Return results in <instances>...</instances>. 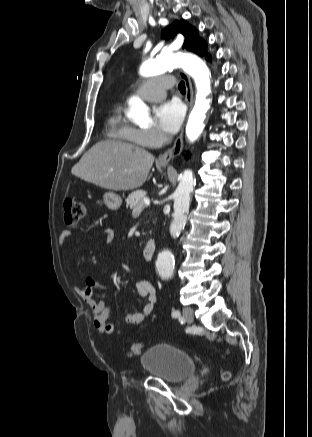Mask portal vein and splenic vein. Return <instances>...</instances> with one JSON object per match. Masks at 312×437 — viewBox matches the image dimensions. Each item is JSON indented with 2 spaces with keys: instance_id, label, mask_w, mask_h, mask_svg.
Returning a JSON list of instances; mask_svg holds the SVG:
<instances>
[{
  "instance_id": "18ae733b",
  "label": "portal vein and splenic vein",
  "mask_w": 312,
  "mask_h": 437,
  "mask_svg": "<svg viewBox=\"0 0 312 437\" xmlns=\"http://www.w3.org/2000/svg\"><path fill=\"white\" fill-rule=\"evenodd\" d=\"M145 205H149L150 204V199L149 198H144L143 200ZM142 209V206H139L137 208L134 209V211H140Z\"/></svg>"
}]
</instances>
